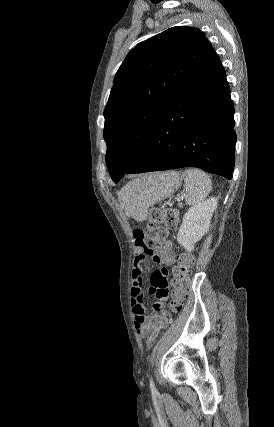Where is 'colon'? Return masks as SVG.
Here are the masks:
<instances>
[{
  "label": "colon",
  "instance_id": "5ec220e1",
  "mask_svg": "<svg viewBox=\"0 0 274 427\" xmlns=\"http://www.w3.org/2000/svg\"><path fill=\"white\" fill-rule=\"evenodd\" d=\"M177 213L168 207H154L150 210L148 220L142 231V236H145L146 243L149 249L152 246H162L167 241V234L177 222ZM162 248V247H161ZM195 263L194 255L184 253L181 259L174 265V273L171 275L173 284L169 301L165 306L164 313H180L183 310L184 300L188 296V277L190 269ZM152 323H155V329L149 335V347L157 346L161 331L167 328V320L164 315L159 317H151Z\"/></svg>",
  "mask_w": 274,
  "mask_h": 427
}]
</instances>
